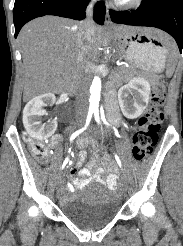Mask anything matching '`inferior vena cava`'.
I'll return each mask as SVG.
<instances>
[{"mask_svg":"<svg viewBox=\"0 0 183 246\" xmlns=\"http://www.w3.org/2000/svg\"><path fill=\"white\" fill-rule=\"evenodd\" d=\"M95 0L89 4L86 10L87 19L80 26L79 45L81 51L78 53L77 63L79 78L77 82L76 107L79 110H86L89 98V80L88 73L91 64L85 59L84 42L89 41L94 35L95 24L92 20V7Z\"/></svg>","mask_w":183,"mask_h":246,"instance_id":"602c4592","label":"inferior vena cava"}]
</instances>
